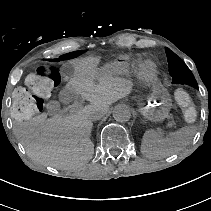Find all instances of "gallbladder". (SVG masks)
Masks as SVG:
<instances>
[{"mask_svg": "<svg viewBox=\"0 0 211 211\" xmlns=\"http://www.w3.org/2000/svg\"><path fill=\"white\" fill-rule=\"evenodd\" d=\"M59 102L63 105L78 104L82 100V95L78 91H73L71 88L64 86L58 94Z\"/></svg>", "mask_w": 211, "mask_h": 211, "instance_id": "bac80fb5", "label": "gallbladder"}]
</instances>
